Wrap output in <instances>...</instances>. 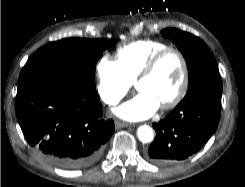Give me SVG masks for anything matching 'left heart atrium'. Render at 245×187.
<instances>
[{
    "mask_svg": "<svg viewBox=\"0 0 245 187\" xmlns=\"http://www.w3.org/2000/svg\"><path fill=\"white\" fill-rule=\"evenodd\" d=\"M158 108L159 104L148 93L139 92L135 98L116 109L115 113L123 119L139 121L149 118Z\"/></svg>",
    "mask_w": 245,
    "mask_h": 187,
    "instance_id": "obj_1",
    "label": "left heart atrium"
}]
</instances>
